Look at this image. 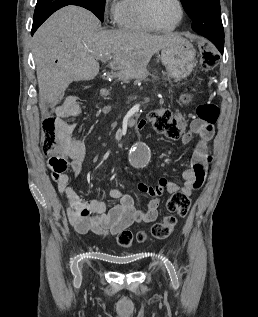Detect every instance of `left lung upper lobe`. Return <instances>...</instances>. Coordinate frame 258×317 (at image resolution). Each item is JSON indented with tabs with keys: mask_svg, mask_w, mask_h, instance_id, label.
I'll return each mask as SVG.
<instances>
[{
	"mask_svg": "<svg viewBox=\"0 0 258 317\" xmlns=\"http://www.w3.org/2000/svg\"><path fill=\"white\" fill-rule=\"evenodd\" d=\"M182 5L192 19V29L217 27L223 29L219 0H181Z\"/></svg>",
	"mask_w": 258,
	"mask_h": 317,
	"instance_id": "1",
	"label": "left lung upper lobe"
}]
</instances>
